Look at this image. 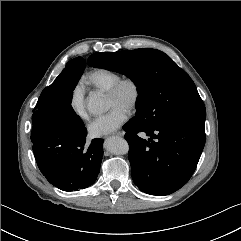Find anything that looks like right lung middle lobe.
<instances>
[{
	"label": "right lung middle lobe",
	"mask_w": 241,
	"mask_h": 241,
	"mask_svg": "<svg viewBox=\"0 0 241 241\" xmlns=\"http://www.w3.org/2000/svg\"><path fill=\"white\" fill-rule=\"evenodd\" d=\"M84 69L85 64L81 62L64 69L55 81L42 91L33 110L32 128L42 136H49L48 138L55 140L58 145L69 143L86 130L71 106L73 90Z\"/></svg>",
	"instance_id": "dd1d6c3e"
}]
</instances>
